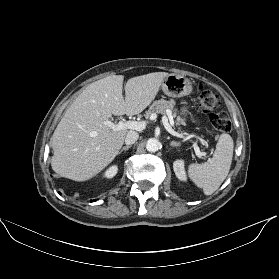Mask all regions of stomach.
Here are the masks:
<instances>
[{"label": "stomach", "mask_w": 279, "mask_h": 279, "mask_svg": "<svg viewBox=\"0 0 279 279\" xmlns=\"http://www.w3.org/2000/svg\"><path fill=\"white\" fill-rule=\"evenodd\" d=\"M162 91L169 97L180 98L187 96L192 92V84L189 79L178 74H169L161 84ZM189 110L186 105L180 109V114L183 115L182 123H185L186 116Z\"/></svg>", "instance_id": "0dacf381"}]
</instances>
